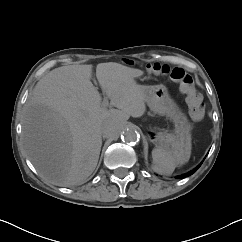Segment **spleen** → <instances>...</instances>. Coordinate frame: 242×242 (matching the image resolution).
I'll return each instance as SVG.
<instances>
[{
  "mask_svg": "<svg viewBox=\"0 0 242 242\" xmlns=\"http://www.w3.org/2000/svg\"><path fill=\"white\" fill-rule=\"evenodd\" d=\"M152 158L155 171L165 175L172 174L178 164L186 162L180 159L179 153L165 151L159 148L153 149Z\"/></svg>",
  "mask_w": 242,
  "mask_h": 242,
  "instance_id": "1",
  "label": "spleen"
}]
</instances>
